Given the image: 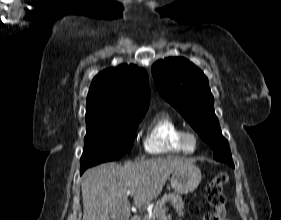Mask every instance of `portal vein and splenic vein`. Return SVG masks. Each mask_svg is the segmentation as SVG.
<instances>
[{
	"label": "portal vein and splenic vein",
	"instance_id": "1",
	"mask_svg": "<svg viewBox=\"0 0 281 220\" xmlns=\"http://www.w3.org/2000/svg\"><path fill=\"white\" fill-rule=\"evenodd\" d=\"M126 195H127V196H129V195L133 196V195H134V192H133V191H127V192H126ZM166 210H167V209H166L165 207L162 209V211L160 212V216H161V217H165Z\"/></svg>",
	"mask_w": 281,
	"mask_h": 220
}]
</instances>
